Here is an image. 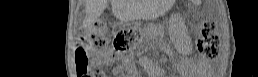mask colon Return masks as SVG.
Returning <instances> with one entry per match:
<instances>
[{"label":"colon","mask_w":258,"mask_h":77,"mask_svg":"<svg viewBox=\"0 0 258 77\" xmlns=\"http://www.w3.org/2000/svg\"><path fill=\"white\" fill-rule=\"evenodd\" d=\"M135 34L130 30L120 31L114 38L116 50L128 49L135 41ZM107 26L103 21H97L83 27L79 32L76 65L80 76H88L95 71L90 64L88 52L103 50L108 46ZM220 38L211 22H205L201 27L198 39V50L206 59H216L219 55Z\"/></svg>","instance_id":"5ec220e1"}]
</instances>
